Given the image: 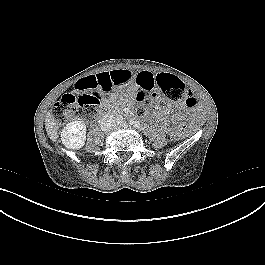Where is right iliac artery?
Listing matches in <instances>:
<instances>
[{"instance_id":"obj_1","label":"right iliac artery","mask_w":265,"mask_h":265,"mask_svg":"<svg viewBox=\"0 0 265 265\" xmlns=\"http://www.w3.org/2000/svg\"><path fill=\"white\" fill-rule=\"evenodd\" d=\"M123 119H124V118H123L121 115H119V116L117 117V121H118V123L122 122Z\"/></svg>"}]
</instances>
